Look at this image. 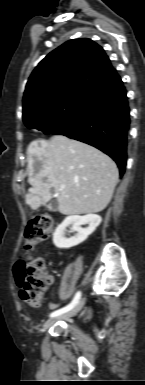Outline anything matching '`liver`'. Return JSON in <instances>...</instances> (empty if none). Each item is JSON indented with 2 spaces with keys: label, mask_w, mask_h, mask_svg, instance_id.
<instances>
[{
  "label": "liver",
  "mask_w": 145,
  "mask_h": 385,
  "mask_svg": "<svg viewBox=\"0 0 145 385\" xmlns=\"http://www.w3.org/2000/svg\"><path fill=\"white\" fill-rule=\"evenodd\" d=\"M28 182L32 186L26 203L32 209L52 199L63 215L91 214L104 210L118 182L115 162L100 150L56 135L50 140H34L28 150ZM64 184L65 188L60 189Z\"/></svg>",
  "instance_id": "6515ba94"
}]
</instances>
